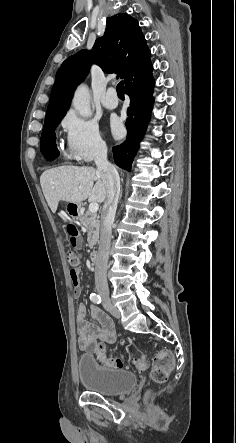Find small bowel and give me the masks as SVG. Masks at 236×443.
Masks as SVG:
<instances>
[{
  "label": "small bowel",
  "instance_id": "obj_1",
  "mask_svg": "<svg viewBox=\"0 0 236 443\" xmlns=\"http://www.w3.org/2000/svg\"><path fill=\"white\" fill-rule=\"evenodd\" d=\"M81 241L78 240L77 246H80ZM78 281L73 283L74 296L79 297L81 295V286L79 280V269L76 270ZM91 316L98 326L87 320V307L84 304H80L77 309V330L79 334V345L82 349L88 352H93L94 346L98 341L102 340L108 344H112L116 341V334L111 318L103 311L95 306L90 307Z\"/></svg>",
  "mask_w": 236,
  "mask_h": 443
}]
</instances>
